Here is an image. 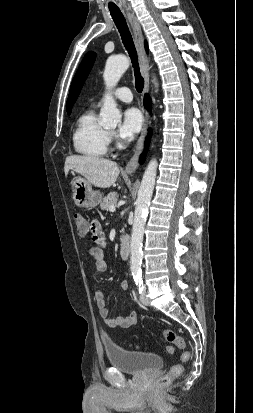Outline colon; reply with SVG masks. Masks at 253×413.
Instances as JSON below:
<instances>
[{
    "mask_svg": "<svg viewBox=\"0 0 253 413\" xmlns=\"http://www.w3.org/2000/svg\"><path fill=\"white\" fill-rule=\"evenodd\" d=\"M72 220L76 226L77 233L81 237H86L90 233V225L87 219L80 213L75 212L72 215ZM164 337L166 341L170 344L167 346L166 350L168 353L173 352V346L178 349L184 350L185 349V340L183 337L178 335L172 329H165L164 330ZM190 358V353L188 351H184L181 355V360L183 362L188 361ZM183 371V367L181 365H174L171 369L163 375L157 382L158 386H166L171 383L174 379L179 377Z\"/></svg>",
    "mask_w": 253,
    "mask_h": 413,
    "instance_id": "5ec220e1",
    "label": "colon"
}]
</instances>
